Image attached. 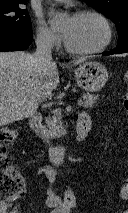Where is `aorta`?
Instances as JSON below:
<instances>
[{
  "label": "aorta",
  "mask_w": 128,
  "mask_h": 213,
  "mask_svg": "<svg viewBox=\"0 0 128 213\" xmlns=\"http://www.w3.org/2000/svg\"><path fill=\"white\" fill-rule=\"evenodd\" d=\"M54 18H55V20H59L60 19V15L55 14Z\"/></svg>",
  "instance_id": "obj_1"
}]
</instances>
